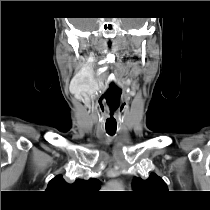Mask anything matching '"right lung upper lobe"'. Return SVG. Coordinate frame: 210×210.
I'll return each mask as SVG.
<instances>
[{"mask_svg":"<svg viewBox=\"0 0 210 210\" xmlns=\"http://www.w3.org/2000/svg\"><path fill=\"white\" fill-rule=\"evenodd\" d=\"M101 184L97 179H89L88 181L78 179L74 183H67L61 175L54 177L48 184L47 191L57 196H67L76 190L96 189Z\"/></svg>","mask_w":210,"mask_h":210,"instance_id":"cb5924a9","label":"right lung upper lobe"}]
</instances>
